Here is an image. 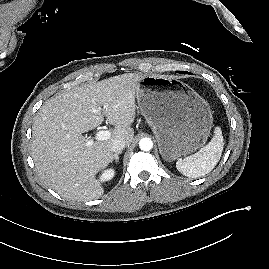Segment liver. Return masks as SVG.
<instances>
[{"label": "liver", "instance_id": "liver-1", "mask_svg": "<svg viewBox=\"0 0 269 269\" xmlns=\"http://www.w3.org/2000/svg\"><path fill=\"white\" fill-rule=\"evenodd\" d=\"M142 73H125L75 88L47 100L35 116L32 158L41 180L71 201L104 193L96 174L113 160L111 144H130L136 117L135 94ZM99 110V108H101ZM106 122L115 128L104 141H86L84 132Z\"/></svg>", "mask_w": 269, "mask_h": 269}]
</instances>
